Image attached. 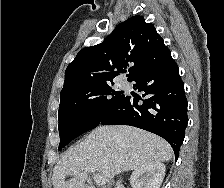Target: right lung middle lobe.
Here are the masks:
<instances>
[{"label":"right lung middle lobe","instance_id":"right-lung-middle-lobe-1","mask_svg":"<svg viewBox=\"0 0 224 188\" xmlns=\"http://www.w3.org/2000/svg\"><path fill=\"white\" fill-rule=\"evenodd\" d=\"M110 85L60 93L59 150L76 137L97 127L123 101L126 95L111 88Z\"/></svg>","mask_w":224,"mask_h":188}]
</instances>
